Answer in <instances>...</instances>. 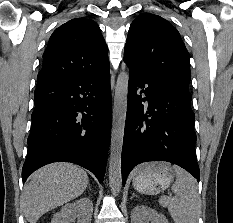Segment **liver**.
<instances>
[{
    "label": "liver",
    "mask_w": 233,
    "mask_h": 223,
    "mask_svg": "<svg viewBox=\"0 0 233 223\" xmlns=\"http://www.w3.org/2000/svg\"><path fill=\"white\" fill-rule=\"evenodd\" d=\"M89 183L85 169L73 163H49L34 171L22 195L23 211L29 223L83 193Z\"/></svg>",
    "instance_id": "6515ba94"
}]
</instances>
